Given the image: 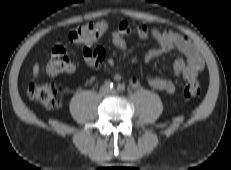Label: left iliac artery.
<instances>
[{"mask_svg": "<svg viewBox=\"0 0 231 170\" xmlns=\"http://www.w3.org/2000/svg\"><path fill=\"white\" fill-rule=\"evenodd\" d=\"M117 91H118V92H123V91H125V85H124V84H118V86H117Z\"/></svg>", "mask_w": 231, "mask_h": 170, "instance_id": "44dca946", "label": "left iliac artery"}]
</instances>
